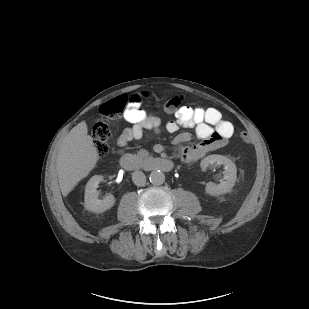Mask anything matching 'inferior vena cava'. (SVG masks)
I'll return each instance as SVG.
<instances>
[{
  "mask_svg": "<svg viewBox=\"0 0 309 309\" xmlns=\"http://www.w3.org/2000/svg\"><path fill=\"white\" fill-rule=\"evenodd\" d=\"M132 181L137 186H144L146 183V176L142 171H134L132 173Z\"/></svg>",
  "mask_w": 309,
  "mask_h": 309,
  "instance_id": "602c4592",
  "label": "inferior vena cava"
}]
</instances>
